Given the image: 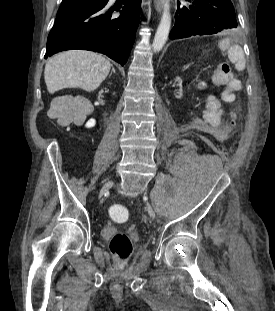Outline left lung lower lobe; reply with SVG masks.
Returning <instances> with one entry per match:
<instances>
[{
    "instance_id": "1",
    "label": "left lung lower lobe",
    "mask_w": 275,
    "mask_h": 311,
    "mask_svg": "<svg viewBox=\"0 0 275 311\" xmlns=\"http://www.w3.org/2000/svg\"><path fill=\"white\" fill-rule=\"evenodd\" d=\"M236 27L235 10L230 0L177 1L175 25L170 32V39L215 34Z\"/></svg>"
}]
</instances>
